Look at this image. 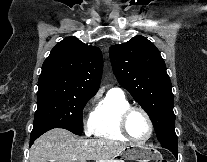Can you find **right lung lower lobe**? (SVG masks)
<instances>
[{
  "label": "right lung lower lobe",
  "mask_w": 207,
  "mask_h": 162,
  "mask_svg": "<svg viewBox=\"0 0 207 162\" xmlns=\"http://www.w3.org/2000/svg\"><path fill=\"white\" fill-rule=\"evenodd\" d=\"M50 129L51 128H48V127H42V128H39L35 131H32L31 136H30V146L39 136H41L43 133H45L46 131H48Z\"/></svg>",
  "instance_id": "98d812e1"
}]
</instances>
